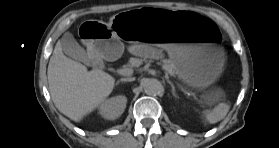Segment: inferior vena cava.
I'll use <instances>...</instances> for the list:
<instances>
[{
    "instance_id": "1",
    "label": "inferior vena cava",
    "mask_w": 279,
    "mask_h": 148,
    "mask_svg": "<svg viewBox=\"0 0 279 148\" xmlns=\"http://www.w3.org/2000/svg\"><path fill=\"white\" fill-rule=\"evenodd\" d=\"M122 81H134L135 80V78H122L121 79Z\"/></svg>"
}]
</instances>
